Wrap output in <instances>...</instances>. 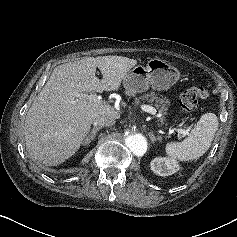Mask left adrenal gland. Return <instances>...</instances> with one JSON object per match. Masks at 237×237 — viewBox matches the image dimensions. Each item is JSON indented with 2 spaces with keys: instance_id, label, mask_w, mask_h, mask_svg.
Wrapping results in <instances>:
<instances>
[{
  "instance_id": "obj_1",
  "label": "left adrenal gland",
  "mask_w": 237,
  "mask_h": 237,
  "mask_svg": "<svg viewBox=\"0 0 237 237\" xmlns=\"http://www.w3.org/2000/svg\"><path fill=\"white\" fill-rule=\"evenodd\" d=\"M149 138L151 140L152 143H155L156 141H161L162 140V137L161 136H158L156 137L153 132H149Z\"/></svg>"
}]
</instances>
